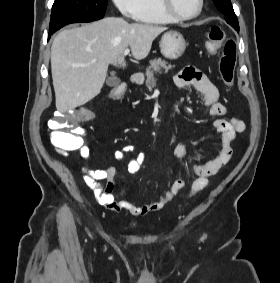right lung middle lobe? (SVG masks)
Here are the masks:
<instances>
[{
    "label": "right lung middle lobe",
    "mask_w": 280,
    "mask_h": 283,
    "mask_svg": "<svg viewBox=\"0 0 280 283\" xmlns=\"http://www.w3.org/2000/svg\"><path fill=\"white\" fill-rule=\"evenodd\" d=\"M108 0H55L50 30L71 23L91 22L104 17Z\"/></svg>",
    "instance_id": "obj_1"
}]
</instances>
